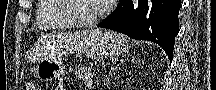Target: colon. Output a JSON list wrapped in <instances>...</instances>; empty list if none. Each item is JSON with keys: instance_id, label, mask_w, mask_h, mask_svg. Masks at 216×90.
<instances>
[{"instance_id": "1", "label": "colon", "mask_w": 216, "mask_h": 90, "mask_svg": "<svg viewBox=\"0 0 216 90\" xmlns=\"http://www.w3.org/2000/svg\"><path fill=\"white\" fill-rule=\"evenodd\" d=\"M24 90H38V87L33 82H27L24 86Z\"/></svg>"}]
</instances>
